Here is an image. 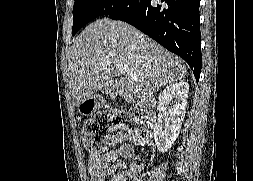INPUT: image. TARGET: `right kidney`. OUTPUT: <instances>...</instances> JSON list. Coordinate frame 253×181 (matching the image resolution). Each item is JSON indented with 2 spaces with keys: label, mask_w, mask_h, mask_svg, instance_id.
<instances>
[{
  "label": "right kidney",
  "mask_w": 253,
  "mask_h": 181,
  "mask_svg": "<svg viewBox=\"0 0 253 181\" xmlns=\"http://www.w3.org/2000/svg\"><path fill=\"white\" fill-rule=\"evenodd\" d=\"M189 85L178 81L167 86L159 95L157 110L162 111L165 117L155 123L153 128L154 141L159 152H167L177 139L182 121L184 120L187 106Z\"/></svg>",
  "instance_id": "obj_1"
}]
</instances>
